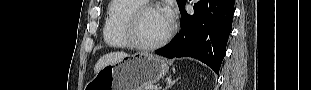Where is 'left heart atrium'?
Masks as SVG:
<instances>
[{"label": "left heart atrium", "mask_w": 311, "mask_h": 90, "mask_svg": "<svg viewBox=\"0 0 311 90\" xmlns=\"http://www.w3.org/2000/svg\"><path fill=\"white\" fill-rule=\"evenodd\" d=\"M164 14H165L167 20L169 21V23L172 24L173 18H174L173 11L170 10V9H168V10H165V11H164Z\"/></svg>", "instance_id": "1"}]
</instances>
